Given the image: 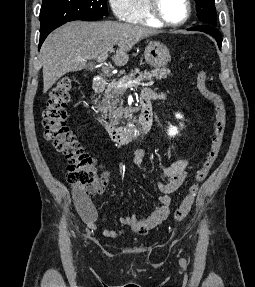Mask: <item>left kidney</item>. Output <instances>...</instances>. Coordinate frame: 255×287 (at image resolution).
<instances>
[{"label": "left kidney", "mask_w": 255, "mask_h": 287, "mask_svg": "<svg viewBox=\"0 0 255 287\" xmlns=\"http://www.w3.org/2000/svg\"><path fill=\"white\" fill-rule=\"evenodd\" d=\"M176 118H178V120H181L183 116H181V114H176ZM167 132H168V136H176L179 130L178 128H176V126H169V130H167Z\"/></svg>", "instance_id": "1"}]
</instances>
